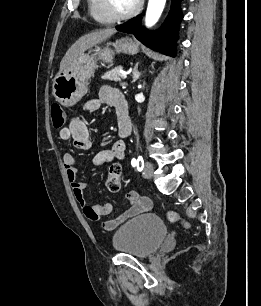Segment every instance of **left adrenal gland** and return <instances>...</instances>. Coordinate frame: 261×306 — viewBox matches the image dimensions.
I'll list each match as a JSON object with an SVG mask.
<instances>
[{"label": "left adrenal gland", "mask_w": 261, "mask_h": 306, "mask_svg": "<svg viewBox=\"0 0 261 306\" xmlns=\"http://www.w3.org/2000/svg\"><path fill=\"white\" fill-rule=\"evenodd\" d=\"M133 80H132V83L136 82L139 77L141 76V73L138 72V63L135 65L134 69H133Z\"/></svg>", "instance_id": "left-adrenal-gland-1"}]
</instances>
